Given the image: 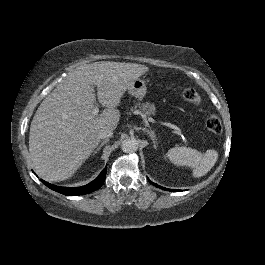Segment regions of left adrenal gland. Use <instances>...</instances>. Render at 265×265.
I'll use <instances>...</instances> for the list:
<instances>
[{"instance_id":"obj_1","label":"left adrenal gland","mask_w":265,"mask_h":265,"mask_svg":"<svg viewBox=\"0 0 265 265\" xmlns=\"http://www.w3.org/2000/svg\"><path fill=\"white\" fill-rule=\"evenodd\" d=\"M139 129H141L142 131L146 132L149 135V137L151 138V140H152V142L154 144V147L156 148V141H155L154 131L151 130V129H148V128H141V127Z\"/></svg>"}]
</instances>
